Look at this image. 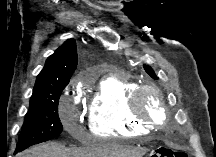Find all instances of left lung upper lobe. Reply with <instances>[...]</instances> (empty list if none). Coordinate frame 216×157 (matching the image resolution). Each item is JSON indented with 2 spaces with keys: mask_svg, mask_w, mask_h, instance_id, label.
Masks as SVG:
<instances>
[{
  "mask_svg": "<svg viewBox=\"0 0 216 157\" xmlns=\"http://www.w3.org/2000/svg\"><path fill=\"white\" fill-rule=\"evenodd\" d=\"M144 69L152 78L157 79L154 71L152 70L150 66L144 65Z\"/></svg>",
  "mask_w": 216,
  "mask_h": 157,
  "instance_id": "1",
  "label": "left lung upper lobe"
}]
</instances>
